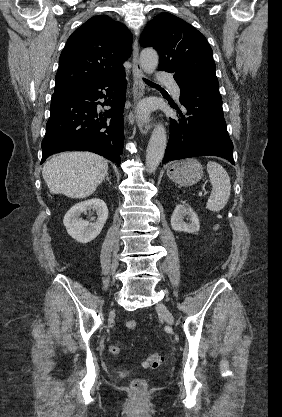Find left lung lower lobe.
<instances>
[{
  "mask_svg": "<svg viewBox=\"0 0 282 417\" xmlns=\"http://www.w3.org/2000/svg\"><path fill=\"white\" fill-rule=\"evenodd\" d=\"M181 88L183 112L170 119V137L163 163L196 156L214 155L232 164L233 144L227 132L218 80L207 77L184 78Z\"/></svg>",
  "mask_w": 282,
  "mask_h": 417,
  "instance_id": "1",
  "label": "left lung lower lobe"
}]
</instances>
